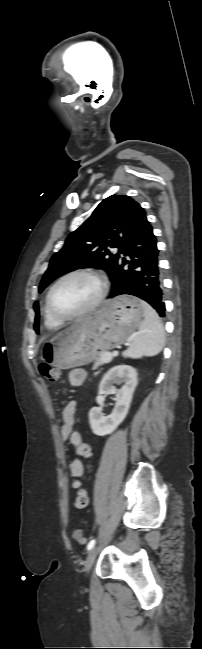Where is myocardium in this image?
<instances>
[{"mask_svg":"<svg viewBox=\"0 0 202 649\" xmlns=\"http://www.w3.org/2000/svg\"><path fill=\"white\" fill-rule=\"evenodd\" d=\"M75 275H86L94 278L98 284H99V293L95 300L86 308L83 310L71 314V315H63L60 314L55 310V308L52 305V295L56 289V287L64 280H66L69 277L75 276ZM109 291V282L107 277L103 272L100 270L94 269V268H77L73 269L71 271L66 272L62 276H60L50 287L47 295H46V307L49 312V314L56 320L60 322H67V321H72L75 319H78L80 317H83L91 312H93L95 309H97L101 303L104 301L106 298L107 294Z\"/></svg>","mask_w":202,"mask_h":649,"instance_id":"myocardium-1","label":"myocardium"}]
</instances>
